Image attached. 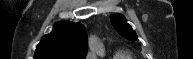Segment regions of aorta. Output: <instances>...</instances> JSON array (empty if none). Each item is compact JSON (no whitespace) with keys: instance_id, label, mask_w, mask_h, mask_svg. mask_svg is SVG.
Returning a JSON list of instances; mask_svg holds the SVG:
<instances>
[{"instance_id":"762f6f07","label":"aorta","mask_w":193,"mask_h":59,"mask_svg":"<svg viewBox=\"0 0 193 59\" xmlns=\"http://www.w3.org/2000/svg\"><path fill=\"white\" fill-rule=\"evenodd\" d=\"M89 44H90V47H92L93 49L101 50V45L96 38L94 37L90 38Z\"/></svg>"}]
</instances>
